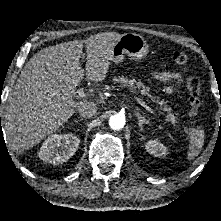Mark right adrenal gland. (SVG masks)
<instances>
[{
    "label": "right adrenal gland",
    "instance_id": "2a0ac1e0",
    "mask_svg": "<svg viewBox=\"0 0 221 221\" xmlns=\"http://www.w3.org/2000/svg\"><path fill=\"white\" fill-rule=\"evenodd\" d=\"M82 120H83V119H80V120H75V122H76V123H79V122H80V121H82Z\"/></svg>",
    "mask_w": 221,
    "mask_h": 221
}]
</instances>
